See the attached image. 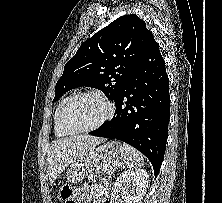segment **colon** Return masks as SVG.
Segmentation results:
<instances>
[{
    "instance_id": "colon-1",
    "label": "colon",
    "mask_w": 222,
    "mask_h": 203,
    "mask_svg": "<svg viewBox=\"0 0 222 203\" xmlns=\"http://www.w3.org/2000/svg\"><path fill=\"white\" fill-rule=\"evenodd\" d=\"M74 191L71 187L66 186L61 191V197L65 203H74L73 200Z\"/></svg>"
}]
</instances>
